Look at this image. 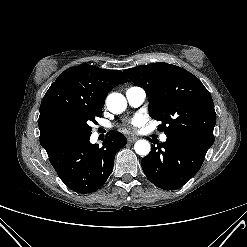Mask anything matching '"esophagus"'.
<instances>
[{"label": "esophagus", "mask_w": 247, "mask_h": 247, "mask_svg": "<svg viewBox=\"0 0 247 247\" xmlns=\"http://www.w3.org/2000/svg\"><path fill=\"white\" fill-rule=\"evenodd\" d=\"M137 139H138V137H136V136H129V137L127 138V140H128L129 143H133V142H135Z\"/></svg>", "instance_id": "1"}]
</instances>
